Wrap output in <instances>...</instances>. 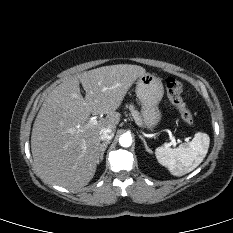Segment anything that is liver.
Returning <instances> with one entry per match:
<instances>
[{"label":"liver","mask_w":233,"mask_h":233,"mask_svg":"<svg viewBox=\"0 0 233 233\" xmlns=\"http://www.w3.org/2000/svg\"><path fill=\"white\" fill-rule=\"evenodd\" d=\"M144 74L146 70L137 65L103 66L66 77L48 94L31 135L33 161L41 178L69 190L90 182L99 163L100 131L116 129L120 121L117 109ZM91 114L107 116L86 126Z\"/></svg>","instance_id":"6515ba94"}]
</instances>
